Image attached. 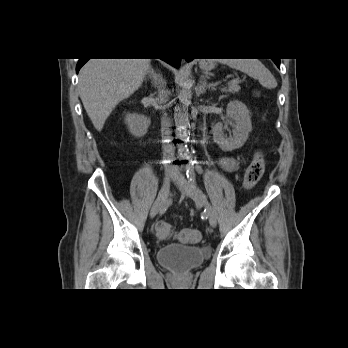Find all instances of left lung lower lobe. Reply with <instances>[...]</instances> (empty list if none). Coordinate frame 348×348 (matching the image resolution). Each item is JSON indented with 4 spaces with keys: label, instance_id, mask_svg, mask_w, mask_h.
<instances>
[{
    "label": "left lung lower lobe",
    "instance_id": "left-lung-lower-lobe-1",
    "mask_svg": "<svg viewBox=\"0 0 348 348\" xmlns=\"http://www.w3.org/2000/svg\"><path fill=\"white\" fill-rule=\"evenodd\" d=\"M187 61H191L192 59H186ZM278 68H280V59L273 60Z\"/></svg>",
    "mask_w": 348,
    "mask_h": 348
}]
</instances>
